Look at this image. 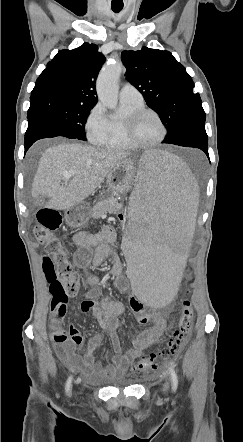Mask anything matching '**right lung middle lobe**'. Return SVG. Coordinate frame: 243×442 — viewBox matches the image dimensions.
<instances>
[{
    "label": "right lung middle lobe",
    "instance_id": "right-lung-middle-lobe-1",
    "mask_svg": "<svg viewBox=\"0 0 243 442\" xmlns=\"http://www.w3.org/2000/svg\"><path fill=\"white\" fill-rule=\"evenodd\" d=\"M93 105L83 104L61 95L30 97L28 122L40 119L66 129L72 138L86 140L85 123Z\"/></svg>",
    "mask_w": 243,
    "mask_h": 442
}]
</instances>
